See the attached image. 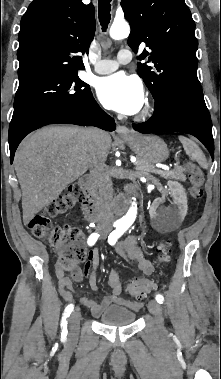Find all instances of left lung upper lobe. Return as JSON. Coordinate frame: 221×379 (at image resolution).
Returning a JSON list of instances; mask_svg holds the SVG:
<instances>
[{
	"mask_svg": "<svg viewBox=\"0 0 221 379\" xmlns=\"http://www.w3.org/2000/svg\"><path fill=\"white\" fill-rule=\"evenodd\" d=\"M124 16L131 26L128 45L137 52L145 43L139 59L154 64H138L155 101L161 95H177L204 101L197 78L195 23L184 0H122Z\"/></svg>",
	"mask_w": 221,
	"mask_h": 379,
	"instance_id": "obj_1",
	"label": "left lung upper lobe"
}]
</instances>
